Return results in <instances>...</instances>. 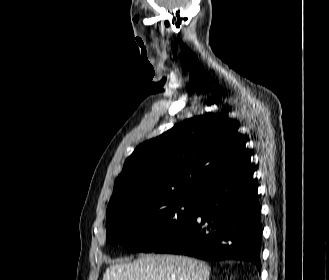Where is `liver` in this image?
<instances>
[{
	"mask_svg": "<svg viewBox=\"0 0 329 280\" xmlns=\"http://www.w3.org/2000/svg\"><path fill=\"white\" fill-rule=\"evenodd\" d=\"M210 267L178 255H144L108 267L103 280H209Z\"/></svg>",
	"mask_w": 329,
	"mask_h": 280,
	"instance_id": "1",
	"label": "liver"
}]
</instances>
